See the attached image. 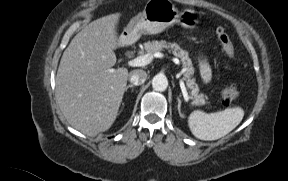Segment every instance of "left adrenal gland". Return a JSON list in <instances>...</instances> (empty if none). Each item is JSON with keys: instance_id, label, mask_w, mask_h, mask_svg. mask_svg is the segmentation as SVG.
Masks as SVG:
<instances>
[{"instance_id": "left-adrenal-gland-1", "label": "left adrenal gland", "mask_w": 288, "mask_h": 181, "mask_svg": "<svg viewBox=\"0 0 288 181\" xmlns=\"http://www.w3.org/2000/svg\"><path fill=\"white\" fill-rule=\"evenodd\" d=\"M177 101H178V106H177L178 113L181 117H183V115L181 113V100L179 98H177Z\"/></svg>"}]
</instances>
